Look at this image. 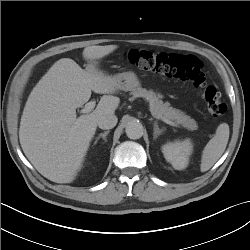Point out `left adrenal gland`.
Returning <instances> with one entry per match:
<instances>
[{
  "label": "left adrenal gland",
  "instance_id": "a2214340",
  "mask_svg": "<svg viewBox=\"0 0 250 250\" xmlns=\"http://www.w3.org/2000/svg\"><path fill=\"white\" fill-rule=\"evenodd\" d=\"M153 127H154V128H153V129H154V139H157V137H158L159 135H161V134L165 131V129H164V128L160 129V128L158 127V124H157L156 121H154Z\"/></svg>",
  "mask_w": 250,
  "mask_h": 250
}]
</instances>
